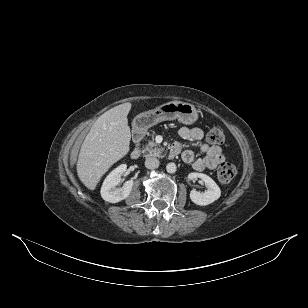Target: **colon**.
<instances>
[{
  "label": "colon",
  "mask_w": 308,
  "mask_h": 308,
  "mask_svg": "<svg viewBox=\"0 0 308 308\" xmlns=\"http://www.w3.org/2000/svg\"><path fill=\"white\" fill-rule=\"evenodd\" d=\"M208 142L213 145L222 144L225 135L221 127L215 126L210 129L207 135ZM236 174V168L230 163H222L217 170V177L223 183L230 182Z\"/></svg>",
  "instance_id": "colon-1"
}]
</instances>
